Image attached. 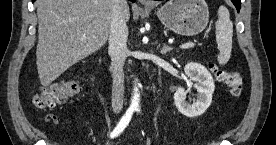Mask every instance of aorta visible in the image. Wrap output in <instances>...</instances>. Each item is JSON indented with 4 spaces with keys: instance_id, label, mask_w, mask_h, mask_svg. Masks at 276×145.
<instances>
[{
    "instance_id": "obj_1",
    "label": "aorta",
    "mask_w": 276,
    "mask_h": 145,
    "mask_svg": "<svg viewBox=\"0 0 276 145\" xmlns=\"http://www.w3.org/2000/svg\"><path fill=\"white\" fill-rule=\"evenodd\" d=\"M140 102V93L137 87H134L132 99H131V105L134 107H137Z\"/></svg>"
}]
</instances>
